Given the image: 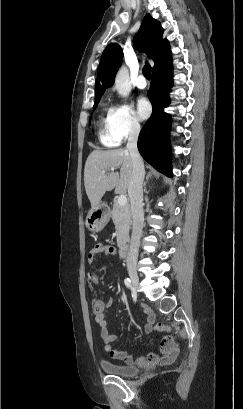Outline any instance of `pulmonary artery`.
Here are the masks:
<instances>
[{
  "label": "pulmonary artery",
  "mask_w": 243,
  "mask_h": 409,
  "mask_svg": "<svg viewBox=\"0 0 243 409\" xmlns=\"http://www.w3.org/2000/svg\"><path fill=\"white\" fill-rule=\"evenodd\" d=\"M146 86H147L146 79L144 78L143 75H139L136 80V87L139 89H145Z\"/></svg>",
  "instance_id": "pulmonary-artery-1"
}]
</instances>
